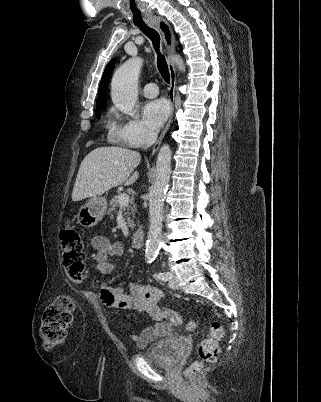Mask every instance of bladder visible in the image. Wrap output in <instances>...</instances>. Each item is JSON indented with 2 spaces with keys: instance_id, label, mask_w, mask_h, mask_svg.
<instances>
[{
  "instance_id": "31cf9c89",
  "label": "bladder",
  "mask_w": 321,
  "mask_h": 402,
  "mask_svg": "<svg viewBox=\"0 0 321 402\" xmlns=\"http://www.w3.org/2000/svg\"><path fill=\"white\" fill-rule=\"evenodd\" d=\"M141 352V356L147 360H153L163 366H174L179 360L178 346L176 345L179 337L173 333Z\"/></svg>"
}]
</instances>
